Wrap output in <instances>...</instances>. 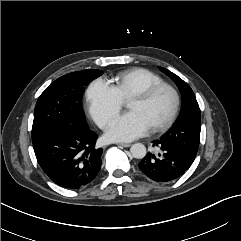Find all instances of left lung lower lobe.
<instances>
[{
  "mask_svg": "<svg viewBox=\"0 0 241 241\" xmlns=\"http://www.w3.org/2000/svg\"><path fill=\"white\" fill-rule=\"evenodd\" d=\"M156 153L148 152L139 163V168L148 178L156 182H168L182 176L191 166L194 159L175 145L154 140Z\"/></svg>",
  "mask_w": 241,
  "mask_h": 241,
  "instance_id": "0a47b994",
  "label": "left lung lower lobe"
}]
</instances>
